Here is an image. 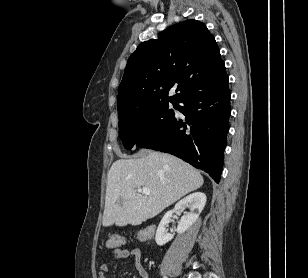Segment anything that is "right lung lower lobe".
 Returning <instances> with one entry per match:
<instances>
[{"mask_svg": "<svg viewBox=\"0 0 308 278\" xmlns=\"http://www.w3.org/2000/svg\"><path fill=\"white\" fill-rule=\"evenodd\" d=\"M231 92L228 76L177 104L185 120L174 119L140 146L173 154L207 172L219 183L227 132Z\"/></svg>", "mask_w": 308, "mask_h": 278, "instance_id": "98d812e1", "label": "right lung lower lobe"}]
</instances>
